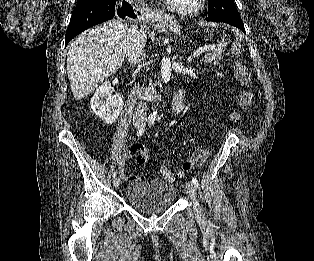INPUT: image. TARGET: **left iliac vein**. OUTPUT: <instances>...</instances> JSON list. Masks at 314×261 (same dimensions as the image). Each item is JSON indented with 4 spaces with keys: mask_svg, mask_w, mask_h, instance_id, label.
<instances>
[{
    "mask_svg": "<svg viewBox=\"0 0 314 261\" xmlns=\"http://www.w3.org/2000/svg\"><path fill=\"white\" fill-rule=\"evenodd\" d=\"M186 192L191 197V199L193 200L194 212H195L196 217L201 218L202 212H201L199 202L197 200L196 187L191 181H188L186 183Z\"/></svg>",
    "mask_w": 314,
    "mask_h": 261,
    "instance_id": "left-iliac-vein-1",
    "label": "left iliac vein"
}]
</instances>
